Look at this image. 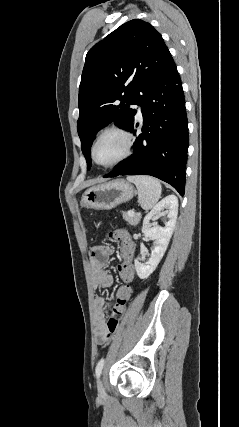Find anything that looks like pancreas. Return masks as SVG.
Listing matches in <instances>:
<instances>
[{
	"mask_svg": "<svg viewBox=\"0 0 239 427\" xmlns=\"http://www.w3.org/2000/svg\"><path fill=\"white\" fill-rule=\"evenodd\" d=\"M122 215L124 220L127 221L132 226H136L141 219V216L139 215L129 216L128 213L126 212H122Z\"/></svg>",
	"mask_w": 239,
	"mask_h": 427,
	"instance_id": "pancreas-1",
	"label": "pancreas"
}]
</instances>
